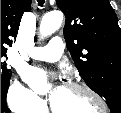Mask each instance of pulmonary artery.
<instances>
[{"mask_svg": "<svg viewBox=\"0 0 121 113\" xmlns=\"http://www.w3.org/2000/svg\"><path fill=\"white\" fill-rule=\"evenodd\" d=\"M63 51V39L54 37L50 40L48 45L34 47L28 50L27 54L35 60L54 63L60 60Z\"/></svg>", "mask_w": 121, "mask_h": 113, "instance_id": "e3ab8cb5", "label": "pulmonary artery"}]
</instances>
